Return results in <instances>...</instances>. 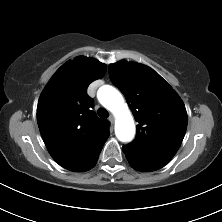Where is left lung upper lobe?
<instances>
[{"mask_svg":"<svg viewBox=\"0 0 222 222\" xmlns=\"http://www.w3.org/2000/svg\"><path fill=\"white\" fill-rule=\"evenodd\" d=\"M109 76L138 122L136 138L123 146L127 160L142 171L162 168L176 154L186 132L187 112L181 98L159 74L142 64H110Z\"/></svg>","mask_w":222,"mask_h":222,"instance_id":"left-lung-upper-lobe-1","label":"left lung upper lobe"}]
</instances>
